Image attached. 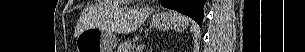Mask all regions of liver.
I'll list each match as a JSON object with an SVG mask.
<instances>
[{
  "label": "liver",
  "mask_w": 305,
  "mask_h": 52,
  "mask_svg": "<svg viewBox=\"0 0 305 52\" xmlns=\"http://www.w3.org/2000/svg\"><path fill=\"white\" fill-rule=\"evenodd\" d=\"M152 12L151 9L129 8L118 3H114L109 13V29L118 34H128L137 30ZM95 27L86 13H83L76 28L75 37L85 29Z\"/></svg>",
  "instance_id": "obj_1"
}]
</instances>
